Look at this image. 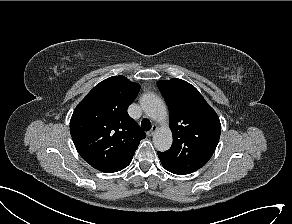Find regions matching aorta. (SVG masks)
<instances>
[{
	"label": "aorta",
	"mask_w": 292,
	"mask_h": 224,
	"mask_svg": "<svg viewBox=\"0 0 292 224\" xmlns=\"http://www.w3.org/2000/svg\"><path fill=\"white\" fill-rule=\"evenodd\" d=\"M144 112L153 120L161 122L167 118L163 100L154 93H146L140 99ZM153 143L158 151H167L172 145V132L168 126H162L153 135Z\"/></svg>",
	"instance_id": "762f6f07"
}]
</instances>
